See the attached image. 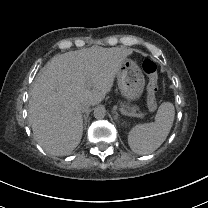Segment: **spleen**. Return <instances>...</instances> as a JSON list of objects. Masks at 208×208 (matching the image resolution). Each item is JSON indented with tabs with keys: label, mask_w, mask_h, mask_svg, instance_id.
I'll return each mask as SVG.
<instances>
[{
	"label": "spleen",
	"mask_w": 208,
	"mask_h": 208,
	"mask_svg": "<svg viewBox=\"0 0 208 208\" xmlns=\"http://www.w3.org/2000/svg\"><path fill=\"white\" fill-rule=\"evenodd\" d=\"M175 116L174 105L164 102L160 105L155 121L136 125L129 132L128 144L139 155H146L158 149L166 140Z\"/></svg>",
	"instance_id": "1"
}]
</instances>
